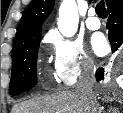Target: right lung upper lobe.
I'll return each instance as SVG.
<instances>
[{
	"instance_id": "1",
	"label": "right lung upper lobe",
	"mask_w": 123,
	"mask_h": 113,
	"mask_svg": "<svg viewBox=\"0 0 123 113\" xmlns=\"http://www.w3.org/2000/svg\"><path fill=\"white\" fill-rule=\"evenodd\" d=\"M110 0H106L108 4ZM54 0H32L20 21L14 50L26 41L41 35L42 24L51 13Z\"/></svg>"
}]
</instances>
